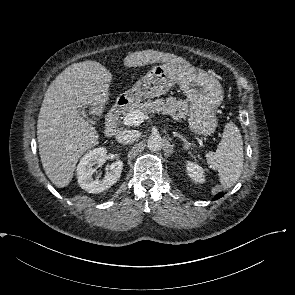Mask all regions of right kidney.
Returning <instances> with one entry per match:
<instances>
[{
  "label": "right kidney",
  "mask_w": 295,
  "mask_h": 295,
  "mask_svg": "<svg viewBox=\"0 0 295 295\" xmlns=\"http://www.w3.org/2000/svg\"><path fill=\"white\" fill-rule=\"evenodd\" d=\"M107 150L104 147L87 152L77 166V179L80 187L89 193H100L116 183L121 175L123 162L118 160L109 165L103 179H93V166L102 165L106 160Z\"/></svg>",
  "instance_id": "obj_1"
}]
</instances>
